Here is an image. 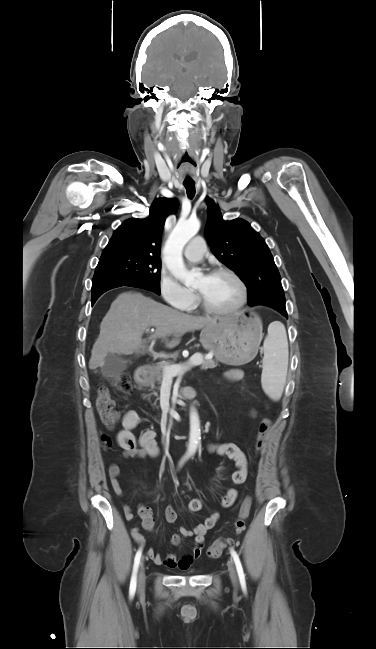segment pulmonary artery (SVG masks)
<instances>
[{
	"instance_id": "1",
	"label": "pulmonary artery",
	"mask_w": 376,
	"mask_h": 649,
	"mask_svg": "<svg viewBox=\"0 0 376 649\" xmlns=\"http://www.w3.org/2000/svg\"><path fill=\"white\" fill-rule=\"evenodd\" d=\"M206 250L205 241L201 236H196L188 243L184 249V255L189 260L198 261L200 260Z\"/></svg>"
}]
</instances>
